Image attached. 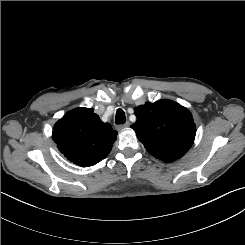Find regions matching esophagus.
<instances>
[{
  "mask_svg": "<svg viewBox=\"0 0 245 245\" xmlns=\"http://www.w3.org/2000/svg\"><path fill=\"white\" fill-rule=\"evenodd\" d=\"M128 126H129V122H126V123H124V124L118 125L117 128H118L119 130H121V129L127 128Z\"/></svg>",
  "mask_w": 245,
  "mask_h": 245,
  "instance_id": "obj_1",
  "label": "esophagus"
}]
</instances>
